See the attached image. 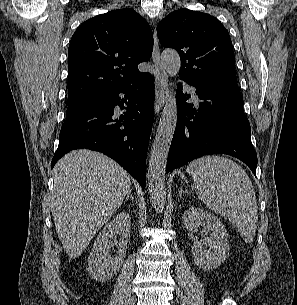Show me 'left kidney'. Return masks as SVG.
<instances>
[{
	"instance_id": "5707ae66",
	"label": "left kidney",
	"mask_w": 297,
	"mask_h": 305,
	"mask_svg": "<svg viewBox=\"0 0 297 305\" xmlns=\"http://www.w3.org/2000/svg\"><path fill=\"white\" fill-rule=\"evenodd\" d=\"M183 223L187 230L196 231L201 224L210 236L203 242H194L192 255L195 264L204 270L217 268L229 254L228 235L224 225L211 213L191 207L184 212ZM203 246L206 249H203Z\"/></svg>"
}]
</instances>
